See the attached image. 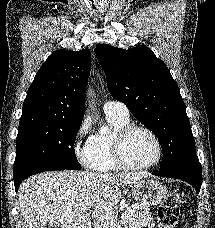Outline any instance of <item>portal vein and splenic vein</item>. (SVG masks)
<instances>
[{
	"label": "portal vein and splenic vein",
	"instance_id": "portal-vein-and-splenic-vein-1",
	"mask_svg": "<svg viewBox=\"0 0 215 228\" xmlns=\"http://www.w3.org/2000/svg\"><path fill=\"white\" fill-rule=\"evenodd\" d=\"M94 204L95 198H91V200H89L85 206H87V208H92ZM135 208L136 206H130V208H127L126 212H124L123 216H121L122 220H127L128 216H130L131 212H134Z\"/></svg>",
	"mask_w": 215,
	"mask_h": 228
}]
</instances>
